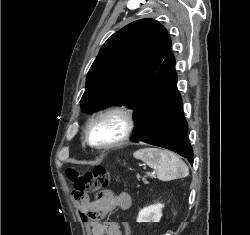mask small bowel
Returning a JSON list of instances; mask_svg holds the SVG:
<instances>
[{
  "mask_svg": "<svg viewBox=\"0 0 250 235\" xmlns=\"http://www.w3.org/2000/svg\"><path fill=\"white\" fill-rule=\"evenodd\" d=\"M132 205V198L126 192L113 194L105 193L104 197L94 202H79V212L83 217V221L90 227L92 235H129L130 228L124 225L122 228L117 223H102L96 214H106L112 210H128Z\"/></svg>",
  "mask_w": 250,
  "mask_h": 235,
  "instance_id": "small-bowel-1",
  "label": "small bowel"
}]
</instances>
